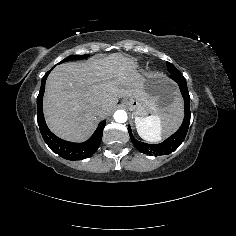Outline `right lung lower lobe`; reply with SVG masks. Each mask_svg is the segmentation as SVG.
<instances>
[{"label": "right lung lower lobe", "instance_id": "right-lung-lower-lobe-1", "mask_svg": "<svg viewBox=\"0 0 236 236\" xmlns=\"http://www.w3.org/2000/svg\"><path fill=\"white\" fill-rule=\"evenodd\" d=\"M50 71H48L43 77L41 81L40 92L37 97V120L42 137L49 148L64 159L83 160L85 158H89L97 151L101 143L103 129L105 127L106 121H102L91 138L83 143L68 142L58 138L52 132H50L45 123L42 111V98L45 90V81Z\"/></svg>", "mask_w": 236, "mask_h": 236}]
</instances>
